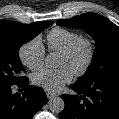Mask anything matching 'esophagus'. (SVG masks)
I'll list each match as a JSON object with an SVG mask.
<instances>
[{"mask_svg": "<svg viewBox=\"0 0 119 119\" xmlns=\"http://www.w3.org/2000/svg\"><path fill=\"white\" fill-rule=\"evenodd\" d=\"M46 95H47L48 99H51V98L57 96L55 93H52V92H46Z\"/></svg>", "mask_w": 119, "mask_h": 119, "instance_id": "1", "label": "esophagus"}]
</instances>
